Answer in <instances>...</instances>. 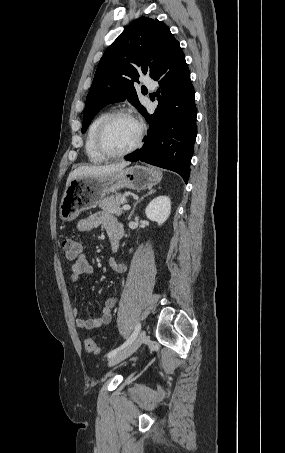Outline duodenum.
<instances>
[{
	"instance_id": "obj_1",
	"label": "duodenum",
	"mask_w": 285,
	"mask_h": 453,
	"mask_svg": "<svg viewBox=\"0 0 285 453\" xmlns=\"http://www.w3.org/2000/svg\"><path fill=\"white\" fill-rule=\"evenodd\" d=\"M118 244L117 243H112V249L113 251L117 250Z\"/></svg>"
}]
</instances>
